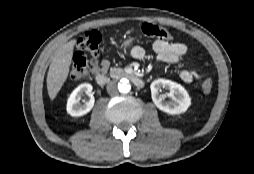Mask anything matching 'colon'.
Wrapping results in <instances>:
<instances>
[{
	"label": "colon",
	"instance_id": "1",
	"mask_svg": "<svg viewBox=\"0 0 254 174\" xmlns=\"http://www.w3.org/2000/svg\"><path fill=\"white\" fill-rule=\"evenodd\" d=\"M141 31L145 36L156 37L160 40L169 41L172 39L170 31L164 27L151 23H144ZM102 36L97 31H88L77 39L73 62L69 70V78L78 81L86 78L90 70L97 65V58L100 51ZM213 82L207 78L202 83V90L205 94L212 91Z\"/></svg>",
	"mask_w": 254,
	"mask_h": 174
}]
</instances>
